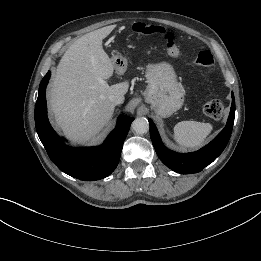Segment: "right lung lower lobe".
<instances>
[{
	"mask_svg": "<svg viewBox=\"0 0 261 261\" xmlns=\"http://www.w3.org/2000/svg\"><path fill=\"white\" fill-rule=\"evenodd\" d=\"M50 75L48 72L40 83L35 106L36 130L50 159L61 171L80 180L94 181L109 176L119 163L123 142L134 119L119 117L116 128L99 147L71 148L65 145L47 118L45 89Z\"/></svg>",
	"mask_w": 261,
	"mask_h": 261,
	"instance_id": "98d812e1",
	"label": "right lung lower lobe"
}]
</instances>
